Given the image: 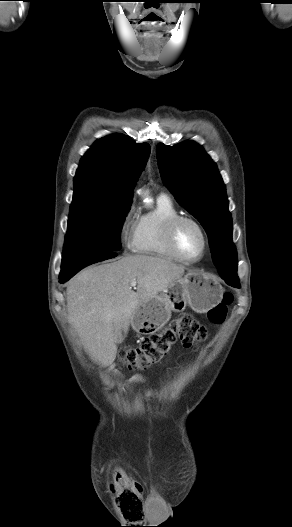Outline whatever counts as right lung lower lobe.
<instances>
[{
    "label": "right lung lower lobe",
    "instance_id": "obj_1",
    "mask_svg": "<svg viewBox=\"0 0 292 527\" xmlns=\"http://www.w3.org/2000/svg\"><path fill=\"white\" fill-rule=\"evenodd\" d=\"M112 251H93L83 253H67L62 256L59 282L64 283L82 268L106 259L116 257Z\"/></svg>",
    "mask_w": 292,
    "mask_h": 527
}]
</instances>
